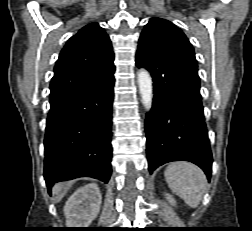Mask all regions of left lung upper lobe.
<instances>
[{"label": "left lung upper lobe", "instance_id": "1", "mask_svg": "<svg viewBox=\"0 0 252 231\" xmlns=\"http://www.w3.org/2000/svg\"><path fill=\"white\" fill-rule=\"evenodd\" d=\"M138 50L177 53L196 61L194 49L182 30L161 18H151L146 24Z\"/></svg>", "mask_w": 252, "mask_h": 231}]
</instances>
